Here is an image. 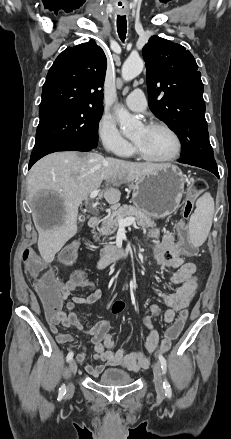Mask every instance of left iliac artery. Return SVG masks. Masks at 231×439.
Returning a JSON list of instances; mask_svg holds the SVG:
<instances>
[{"label": "left iliac artery", "instance_id": "44dca946", "mask_svg": "<svg viewBox=\"0 0 231 439\" xmlns=\"http://www.w3.org/2000/svg\"><path fill=\"white\" fill-rule=\"evenodd\" d=\"M158 358H159V361H160V364H161L162 371L165 374L166 370H167L166 359L162 355H159ZM163 387H164V390H165V395L167 397H171V395H172L171 386H170L169 382L166 379L163 382Z\"/></svg>", "mask_w": 231, "mask_h": 439}]
</instances>
